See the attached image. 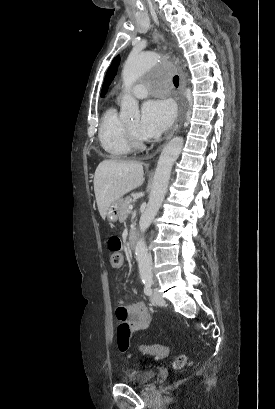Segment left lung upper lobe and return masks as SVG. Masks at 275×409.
Instances as JSON below:
<instances>
[{
  "label": "left lung upper lobe",
  "mask_w": 275,
  "mask_h": 409,
  "mask_svg": "<svg viewBox=\"0 0 275 409\" xmlns=\"http://www.w3.org/2000/svg\"><path fill=\"white\" fill-rule=\"evenodd\" d=\"M119 63H120V56L118 55L113 59L111 65H110V67H109V69H108V71L106 73V77L104 79V83H103V86H102L101 97H104V95L106 94V92L108 90L109 85L111 84L112 80L114 79V77H115V75L117 73V68H118Z\"/></svg>",
  "instance_id": "1"
}]
</instances>
